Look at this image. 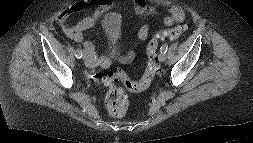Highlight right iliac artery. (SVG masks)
<instances>
[{"instance_id": "82829eb1", "label": "right iliac artery", "mask_w": 253, "mask_h": 143, "mask_svg": "<svg viewBox=\"0 0 253 143\" xmlns=\"http://www.w3.org/2000/svg\"><path fill=\"white\" fill-rule=\"evenodd\" d=\"M75 55H76V57H77L78 59H80V58L83 56V53H82V51H81L80 49H78V50H76Z\"/></svg>"}]
</instances>
